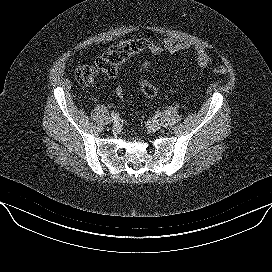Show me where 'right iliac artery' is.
<instances>
[{
	"label": "right iliac artery",
	"mask_w": 272,
	"mask_h": 272,
	"mask_svg": "<svg viewBox=\"0 0 272 272\" xmlns=\"http://www.w3.org/2000/svg\"><path fill=\"white\" fill-rule=\"evenodd\" d=\"M111 116H112L113 118H116V117L119 116V113L113 112V113L111 114Z\"/></svg>",
	"instance_id": "right-iliac-artery-1"
}]
</instances>
